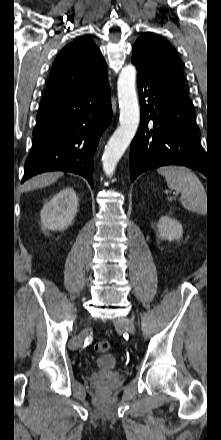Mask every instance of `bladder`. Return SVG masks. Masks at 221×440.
<instances>
[{
	"label": "bladder",
	"instance_id": "obj_1",
	"mask_svg": "<svg viewBox=\"0 0 221 440\" xmlns=\"http://www.w3.org/2000/svg\"><path fill=\"white\" fill-rule=\"evenodd\" d=\"M117 363V358L112 354H103L96 359V366L101 369L114 368Z\"/></svg>",
	"mask_w": 221,
	"mask_h": 440
}]
</instances>
